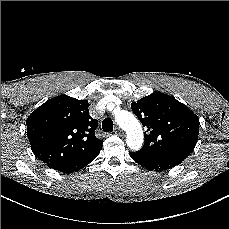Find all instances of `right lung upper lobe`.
I'll list each match as a JSON object with an SVG mask.
<instances>
[{"mask_svg": "<svg viewBox=\"0 0 229 229\" xmlns=\"http://www.w3.org/2000/svg\"><path fill=\"white\" fill-rule=\"evenodd\" d=\"M88 107L86 100L62 95L33 111L26 123L34 155L59 170L99 151L103 140L95 136L98 121Z\"/></svg>", "mask_w": 229, "mask_h": 229, "instance_id": "obj_1", "label": "right lung upper lobe"}]
</instances>
